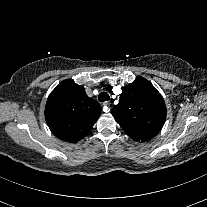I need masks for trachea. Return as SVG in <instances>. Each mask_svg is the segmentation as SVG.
<instances>
[{
    "label": "trachea",
    "mask_w": 207,
    "mask_h": 207,
    "mask_svg": "<svg viewBox=\"0 0 207 207\" xmlns=\"http://www.w3.org/2000/svg\"><path fill=\"white\" fill-rule=\"evenodd\" d=\"M99 102H104L110 100V96L106 92H101L98 96Z\"/></svg>",
    "instance_id": "trachea-1"
}]
</instances>
